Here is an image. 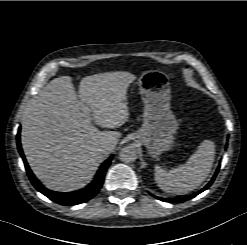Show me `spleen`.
<instances>
[{
  "instance_id": "obj_1",
  "label": "spleen",
  "mask_w": 247,
  "mask_h": 245,
  "mask_svg": "<svg viewBox=\"0 0 247 245\" xmlns=\"http://www.w3.org/2000/svg\"><path fill=\"white\" fill-rule=\"evenodd\" d=\"M214 158V142L206 139L185 164L170 171L157 165L155 167V181L160 189L167 193L175 195L188 193L205 181L211 171Z\"/></svg>"
}]
</instances>
